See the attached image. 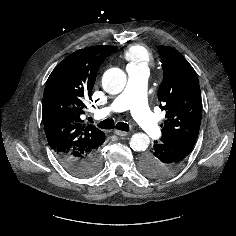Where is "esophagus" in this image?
Listing matches in <instances>:
<instances>
[{"instance_id": "esophagus-1", "label": "esophagus", "mask_w": 236, "mask_h": 236, "mask_svg": "<svg viewBox=\"0 0 236 236\" xmlns=\"http://www.w3.org/2000/svg\"><path fill=\"white\" fill-rule=\"evenodd\" d=\"M115 134L118 135V136H121V137H125V136L129 135L128 132L121 131V130H115Z\"/></svg>"}]
</instances>
